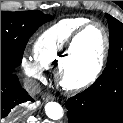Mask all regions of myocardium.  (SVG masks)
I'll use <instances>...</instances> for the list:
<instances>
[{"label": "myocardium", "mask_w": 123, "mask_h": 123, "mask_svg": "<svg viewBox=\"0 0 123 123\" xmlns=\"http://www.w3.org/2000/svg\"><path fill=\"white\" fill-rule=\"evenodd\" d=\"M94 25L99 27L100 30L102 31L104 38L103 48L91 73L86 77L77 78L71 72V64L73 60L74 49L78 39L84 34V32L89 27ZM109 47H110L109 34L106 27L102 23L97 21H88L80 28H78L71 36L67 45L65 56L60 65L57 67L56 74L60 86L66 91L75 92L92 85L98 79V77L102 72V69L104 67L109 52Z\"/></svg>", "instance_id": "myocardium-1"}]
</instances>
